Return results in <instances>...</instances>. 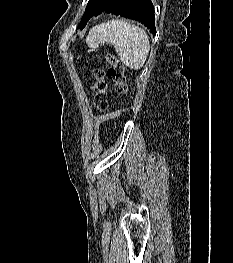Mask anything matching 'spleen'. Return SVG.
Returning <instances> with one entry per match:
<instances>
[{"instance_id":"1","label":"spleen","mask_w":233,"mask_h":263,"mask_svg":"<svg viewBox=\"0 0 233 263\" xmlns=\"http://www.w3.org/2000/svg\"><path fill=\"white\" fill-rule=\"evenodd\" d=\"M86 42L93 49L105 43L114 46L120 60L134 70L143 67L150 50L147 33L123 19L96 25L89 31Z\"/></svg>"}]
</instances>
